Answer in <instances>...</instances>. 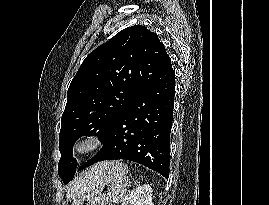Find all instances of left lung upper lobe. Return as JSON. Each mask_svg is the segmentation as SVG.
Instances as JSON below:
<instances>
[{
    "label": "left lung upper lobe",
    "mask_w": 269,
    "mask_h": 205,
    "mask_svg": "<svg viewBox=\"0 0 269 205\" xmlns=\"http://www.w3.org/2000/svg\"><path fill=\"white\" fill-rule=\"evenodd\" d=\"M168 59L157 34L141 25L120 31L84 59L69 86L61 119L58 174L65 184L77 170L72 158L77 139L97 135L102 140Z\"/></svg>",
    "instance_id": "5c2ea615"
}]
</instances>
